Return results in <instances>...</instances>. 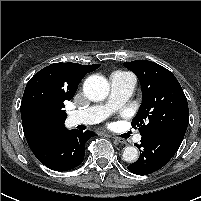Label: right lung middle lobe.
<instances>
[{
	"instance_id": "dd1d6c3e",
	"label": "right lung middle lobe",
	"mask_w": 201,
	"mask_h": 201,
	"mask_svg": "<svg viewBox=\"0 0 201 201\" xmlns=\"http://www.w3.org/2000/svg\"><path fill=\"white\" fill-rule=\"evenodd\" d=\"M64 101L65 99L49 87L41 85L31 91L27 100V106L30 110L40 115H62L65 113L62 110Z\"/></svg>"
}]
</instances>
